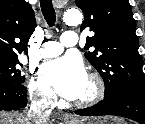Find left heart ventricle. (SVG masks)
Here are the masks:
<instances>
[{
  "instance_id": "1",
  "label": "left heart ventricle",
  "mask_w": 145,
  "mask_h": 124,
  "mask_svg": "<svg viewBox=\"0 0 145 124\" xmlns=\"http://www.w3.org/2000/svg\"><path fill=\"white\" fill-rule=\"evenodd\" d=\"M93 92H94V84L87 78V81H86L80 95L78 96V98L75 99V101H80V100L86 99V98L90 97Z\"/></svg>"
}]
</instances>
